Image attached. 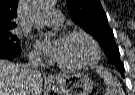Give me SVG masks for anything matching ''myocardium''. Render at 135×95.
Wrapping results in <instances>:
<instances>
[{"mask_svg":"<svg viewBox=\"0 0 135 95\" xmlns=\"http://www.w3.org/2000/svg\"><path fill=\"white\" fill-rule=\"evenodd\" d=\"M74 36L85 37L90 42L94 50L93 58L85 63L76 64V65H68L58 61V66L65 70H81L95 65L101 58V48L97 40L90 33L83 30H73L65 34V38H70Z\"/></svg>","mask_w":135,"mask_h":95,"instance_id":"myocardium-1","label":"myocardium"}]
</instances>
